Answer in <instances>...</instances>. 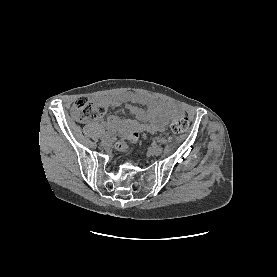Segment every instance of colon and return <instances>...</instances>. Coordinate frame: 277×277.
<instances>
[{
    "label": "colon",
    "mask_w": 277,
    "mask_h": 277,
    "mask_svg": "<svg viewBox=\"0 0 277 277\" xmlns=\"http://www.w3.org/2000/svg\"><path fill=\"white\" fill-rule=\"evenodd\" d=\"M106 108L103 105L94 104L85 97L75 100L71 107L72 116L78 121H88L98 119L104 116ZM189 127V118L185 114L175 116L171 122L170 129L175 134L184 133ZM138 136L132 133L128 138V142H120L118 149L125 152L129 149V144L135 143Z\"/></svg>",
    "instance_id": "1"
}]
</instances>
